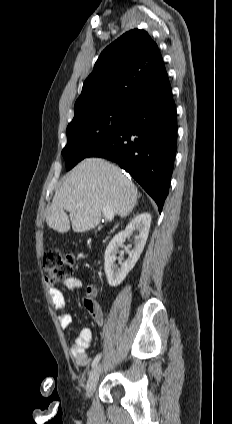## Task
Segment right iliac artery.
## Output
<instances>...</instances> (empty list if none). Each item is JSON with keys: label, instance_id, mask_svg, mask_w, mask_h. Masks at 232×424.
Wrapping results in <instances>:
<instances>
[{"label": "right iliac artery", "instance_id": "82829eb1", "mask_svg": "<svg viewBox=\"0 0 232 424\" xmlns=\"http://www.w3.org/2000/svg\"><path fill=\"white\" fill-rule=\"evenodd\" d=\"M100 358H101V354L96 355V357L94 358L92 362V368H94L98 364Z\"/></svg>", "mask_w": 232, "mask_h": 424}]
</instances>
